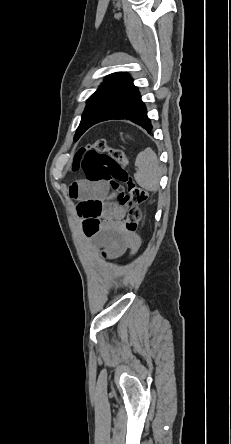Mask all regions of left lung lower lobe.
Returning a JSON list of instances; mask_svg holds the SVG:
<instances>
[{
  "mask_svg": "<svg viewBox=\"0 0 231 444\" xmlns=\"http://www.w3.org/2000/svg\"><path fill=\"white\" fill-rule=\"evenodd\" d=\"M110 119L130 120V121L142 126L149 133L152 129L150 119L147 117V111L145 108V104L142 102L141 95L138 91L136 92V94L132 98H130L128 101H126V103L123 105V107L120 109V111L117 114H115L111 117H107L105 119H102L101 121L110 120Z\"/></svg>",
  "mask_w": 231,
  "mask_h": 444,
  "instance_id": "1",
  "label": "left lung lower lobe"
}]
</instances>
